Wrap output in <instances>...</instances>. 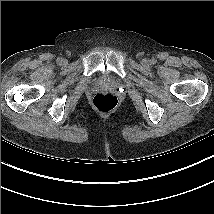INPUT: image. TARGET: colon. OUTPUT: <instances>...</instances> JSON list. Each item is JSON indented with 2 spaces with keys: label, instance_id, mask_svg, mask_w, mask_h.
<instances>
[{
  "label": "colon",
  "instance_id": "colon-1",
  "mask_svg": "<svg viewBox=\"0 0 214 214\" xmlns=\"http://www.w3.org/2000/svg\"><path fill=\"white\" fill-rule=\"evenodd\" d=\"M94 107L102 113L113 111L118 105V99L111 93H99L93 98Z\"/></svg>",
  "mask_w": 214,
  "mask_h": 214
}]
</instances>
